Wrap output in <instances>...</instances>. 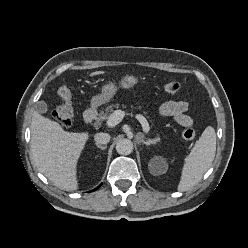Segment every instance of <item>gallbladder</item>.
I'll return each mask as SVG.
<instances>
[{"mask_svg":"<svg viewBox=\"0 0 248 248\" xmlns=\"http://www.w3.org/2000/svg\"><path fill=\"white\" fill-rule=\"evenodd\" d=\"M36 110L39 113H46L48 111V106L44 101H39L36 104Z\"/></svg>","mask_w":248,"mask_h":248,"instance_id":"1","label":"gallbladder"}]
</instances>
